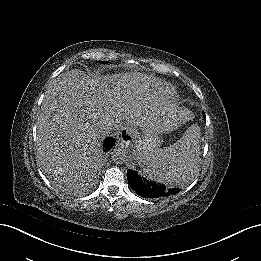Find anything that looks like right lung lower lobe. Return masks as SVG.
Instances as JSON below:
<instances>
[{
	"instance_id": "obj_1",
	"label": "right lung lower lobe",
	"mask_w": 261,
	"mask_h": 261,
	"mask_svg": "<svg viewBox=\"0 0 261 261\" xmlns=\"http://www.w3.org/2000/svg\"><path fill=\"white\" fill-rule=\"evenodd\" d=\"M115 144L114 138H107L104 142V151H108L110 148H112Z\"/></svg>"
}]
</instances>
